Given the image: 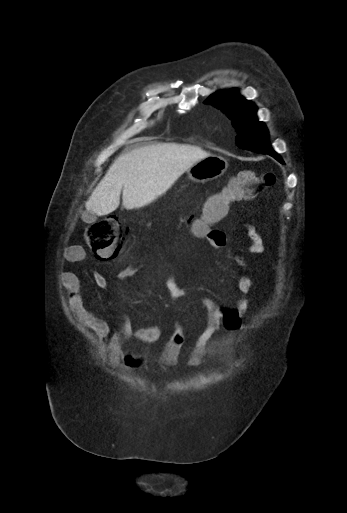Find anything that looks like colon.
Listing matches in <instances>:
<instances>
[{"mask_svg":"<svg viewBox=\"0 0 347 513\" xmlns=\"http://www.w3.org/2000/svg\"><path fill=\"white\" fill-rule=\"evenodd\" d=\"M275 182L272 173L256 174L244 170L234 175L228 184L218 193L210 195L203 206L202 213L192 225L193 234H203L224 219L231 203L251 200ZM125 230L115 217H108L89 225L85 237L97 259L113 261L123 250Z\"/></svg>","mask_w":347,"mask_h":513,"instance_id":"colon-1","label":"colon"}]
</instances>
